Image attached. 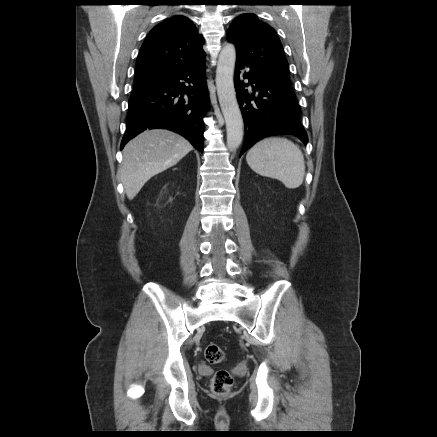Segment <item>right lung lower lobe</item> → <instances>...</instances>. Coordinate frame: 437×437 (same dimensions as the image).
<instances>
[{"mask_svg": "<svg viewBox=\"0 0 437 437\" xmlns=\"http://www.w3.org/2000/svg\"><path fill=\"white\" fill-rule=\"evenodd\" d=\"M128 105L121 149L147 128H165L181 134L203 151V117L208 107L205 58L134 92Z\"/></svg>", "mask_w": 437, "mask_h": 437, "instance_id": "right-lung-lower-lobe-1", "label": "right lung lower lobe"}]
</instances>
